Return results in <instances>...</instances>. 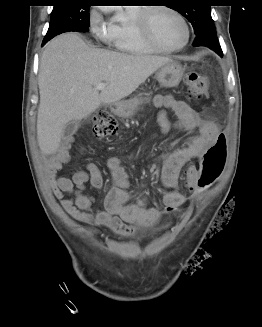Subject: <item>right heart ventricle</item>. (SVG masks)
<instances>
[{
	"mask_svg": "<svg viewBox=\"0 0 262 327\" xmlns=\"http://www.w3.org/2000/svg\"><path fill=\"white\" fill-rule=\"evenodd\" d=\"M141 11L138 7H130L125 11L126 19L117 20L112 24L114 46L131 54H154L160 51L150 46L139 33L135 19Z\"/></svg>",
	"mask_w": 262,
	"mask_h": 327,
	"instance_id": "obj_1",
	"label": "right heart ventricle"
}]
</instances>
